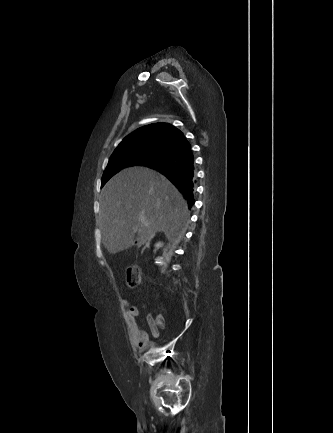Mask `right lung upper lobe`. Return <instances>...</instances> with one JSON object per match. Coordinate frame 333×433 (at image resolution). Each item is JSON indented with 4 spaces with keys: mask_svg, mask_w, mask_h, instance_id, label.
Wrapping results in <instances>:
<instances>
[{
    "mask_svg": "<svg viewBox=\"0 0 333 433\" xmlns=\"http://www.w3.org/2000/svg\"><path fill=\"white\" fill-rule=\"evenodd\" d=\"M181 139L187 141L184 134L173 125L169 123H154L143 126L128 135L117 148L145 144L160 146L172 151L181 144Z\"/></svg>",
    "mask_w": 333,
    "mask_h": 433,
    "instance_id": "cb5924a9",
    "label": "right lung upper lobe"
}]
</instances>
